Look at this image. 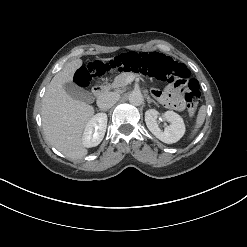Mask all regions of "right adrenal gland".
I'll use <instances>...</instances> for the list:
<instances>
[{
  "label": "right adrenal gland",
  "instance_id": "right-adrenal-gland-1",
  "mask_svg": "<svg viewBox=\"0 0 247 247\" xmlns=\"http://www.w3.org/2000/svg\"><path fill=\"white\" fill-rule=\"evenodd\" d=\"M100 111H106V110H102V109H100Z\"/></svg>",
  "mask_w": 247,
  "mask_h": 247
}]
</instances>
